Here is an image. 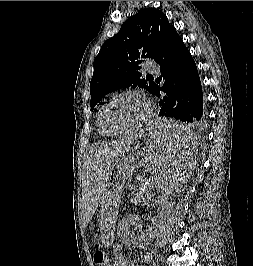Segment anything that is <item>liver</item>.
Instances as JSON below:
<instances>
[{
	"label": "liver",
	"mask_w": 253,
	"mask_h": 266,
	"mask_svg": "<svg viewBox=\"0 0 253 266\" xmlns=\"http://www.w3.org/2000/svg\"><path fill=\"white\" fill-rule=\"evenodd\" d=\"M135 138L129 136L122 140H116L100 146L91 148L86 158L84 167V201L87 203L88 222L94 215L95 210L105 191V179L107 171L111 167L113 160L123 153L126 147Z\"/></svg>",
	"instance_id": "liver-1"
}]
</instances>
